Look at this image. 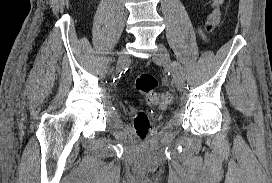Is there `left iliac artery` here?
Segmentation results:
<instances>
[{
	"label": "left iliac artery",
	"mask_w": 272,
	"mask_h": 183,
	"mask_svg": "<svg viewBox=\"0 0 272 183\" xmlns=\"http://www.w3.org/2000/svg\"><path fill=\"white\" fill-rule=\"evenodd\" d=\"M172 66L175 73V77H177L180 81H184L185 77L180 64L176 61H172Z\"/></svg>",
	"instance_id": "44dca946"
}]
</instances>
